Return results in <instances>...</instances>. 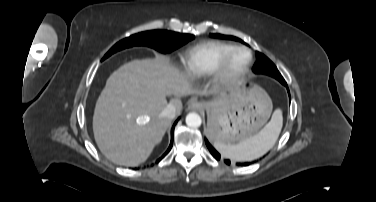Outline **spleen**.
I'll return each instance as SVG.
<instances>
[{"label":"spleen","instance_id":"obj_1","mask_svg":"<svg viewBox=\"0 0 376 202\" xmlns=\"http://www.w3.org/2000/svg\"><path fill=\"white\" fill-rule=\"evenodd\" d=\"M283 124L282 111L275 110L268 124L256 135L239 142L225 144L214 142V147L222 156L234 161H252L264 155L276 143Z\"/></svg>","mask_w":376,"mask_h":202}]
</instances>
